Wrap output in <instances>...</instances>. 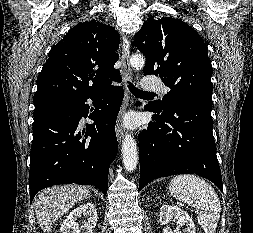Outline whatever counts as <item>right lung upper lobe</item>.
Segmentation results:
<instances>
[{
    "mask_svg": "<svg viewBox=\"0 0 253 233\" xmlns=\"http://www.w3.org/2000/svg\"><path fill=\"white\" fill-rule=\"evenodd\" d=\"M119 33L97 20L78 23L52 47L37 78L35 104L52 98L81 97L119 78L114 68Z\"/></svg>",
    "mask_w": 253,
    "mask_h": 233,
    "instance_id": "obj_1",
    "label": "right lung upper lobe"
}]
</instances>
